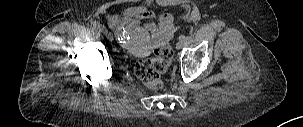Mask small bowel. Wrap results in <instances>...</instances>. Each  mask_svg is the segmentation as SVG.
<instances>
[{
    "instance_id": "c3829d8e",
    "label": "small bowel",
    "mask_w": 303,
    "mask_h": 127,
    "mask_svg": "<svg viewBox=\"0 0 303 127\" xmlns=\"http://www.w3.org/2000/svg\"><path fill=\"white\" fill-rule=\"evenodd\" d=\"M106 20L118 39L137 53H146L168 42L174 33L172 17L162 14L156 22L155 13L147 5L107 14Z\"/></svg>"
}]
</instances>
